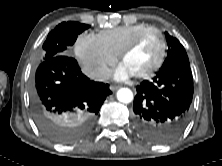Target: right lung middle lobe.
<instances>
[{"mask_svg":"<svg viewBox=\"0 0 222 166\" xmlns=\"http://www.w3.org/2000/svg\"><path fill=\"white\" fill-rule=\"evenodd\" d=\"M90 26L86 24H81L78 22H63L56 26L52 30L43 45L45 56L43 60H47L57 55H66V50L74 44L77 36L84 30L88 29ZM38 126L44 135L50 139L57 141L52 134L41 124L40 120H37Z\"/></svg>","mask_w":222,"mask_h":166,"instance_id":"dd1d6c3e","label":"right lung middle lobe"}]
</instances>
